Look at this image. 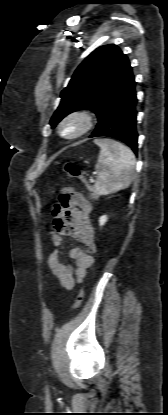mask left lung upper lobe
<instances>
[{
	"instance_id": "obj_1",
	"label": "left lung upper lobe",
	"mask_w": 168,
	"mask_h": 415,
	"mask_svg": "<svg viewBox=\"0 0 168 415\" xmlns=\"http://www.w3.org/2000/svg\"><path fill=\"white\" fill-rule=\"evenodd\" d=\"M126 55L114 44L93 51L76 69L61 93V102L51 118L52 128L68 114L88 109L100 116L110 100L133 79Z\"/></svg>"
}]
</instances>
